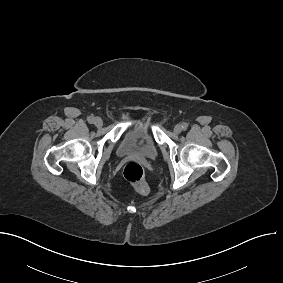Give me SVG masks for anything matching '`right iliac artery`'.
I'll return each instance as SVG.
<instances>
[{
  "instance_id": "1",
  "label": "right iliac artery",
  "mask_w": 283,
  "mask_h": 283,
  "mask_svg": "<svg viewBox=\"0 0 283 283\" xmlns=\"http://www.w3.org/2000/svg\"><path fill=\"white\" fill-rule=\"evenodd\" d=\"M87 120H88L89 123H93L94 122V117L90 116V117H88Z\"/></svg>"
}]
</instances>
